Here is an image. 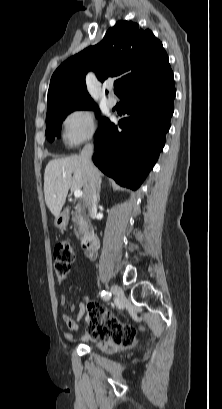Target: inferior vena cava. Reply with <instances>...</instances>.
<instances>
[{
    "instance_id": "602c4592",
    "label": "inferior vena cava",
    "mask_w": 222,
    "mask_h": 409,
    "mask_svg": "<svg viewBox=\"0 0 222 409\" xmlns=\"http://www.w3.org/2000/svg\"><path fill=\"white\" fill-rule=\"evenodd\" d=\"M93 149L94 146L90 143L80 153V159L85 171L84 201L90 217H94L97 213L99 182V173L92 162Z\"/></svg>"
}]
</instances>
